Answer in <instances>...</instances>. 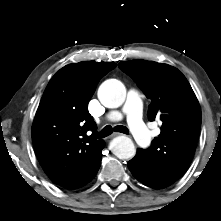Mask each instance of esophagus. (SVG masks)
<instances>
[{
  "instance_id": "1",
  "label": "esophagus",
  "mask_w": 221,
  "mask_h": 221,
  "mask_svg": "<svg viewBox=\"0 0 221 221\" xmlns=\"http://www.w3.org/2000/svg\"><path fill=\"white\" fill-rule=\"evenodd\" d=\"M115 135H116V136H120V135H122V134H121V133H115Z\"/></svg>"
}]
</instances>
